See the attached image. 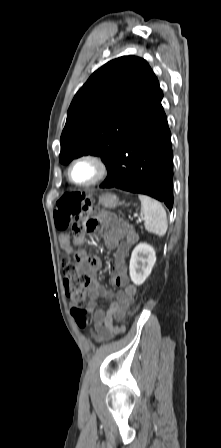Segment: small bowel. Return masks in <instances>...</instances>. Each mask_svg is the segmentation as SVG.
Here are the masks:
<instances>
[{
	"instance_id": "c3829d8e",
	"label": "small bowel",
	"mask_w": 221,
	"mask_h": 448,
	"mask_svg": "<svg viewBox=\"0 0 221 448\" xmlns=\"http://www.w3.org/2000/svg\"><path fill=\"white\" fill-rule=\"evenodd\" d=\"M94 219L96 220L97 232L105 236L106 246L110 249H116L112 278L113 283L120 287V290L116 293L105 288L95 278L96 272L101 267L100 258L88 256L84 251L74 249L75 245L82 243L83 237L64 233L59 240L62 249L76 258L80 267L90 277V283L87 287V309L93 312L94 332H92V336L98 341H104L124 330L122 326H115L114 321L123 320L127 315L129 306L135 300L136 287L128 283L124 260L130 247L138 240V235L128 224L119 222L113 214L106 211H98ZM113 296L115 300L111 302L107 312L96 309L98 298Z\"/></svg>"
}]
</instances>
